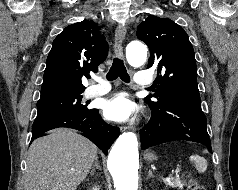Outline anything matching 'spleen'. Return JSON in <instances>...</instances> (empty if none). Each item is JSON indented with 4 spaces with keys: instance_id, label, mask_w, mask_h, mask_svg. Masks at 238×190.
I'll use <instances>...</instances> for the list:
<instances>
[{
    "instance_id": "1",
    "label": "spleen",
    "mask_w": 238,
    "mask_h": 190,
    "mask_svg": "<svg viewBox=\"0 0 238 190\" xmlns=\"http://www.w3.org/2000/svg\"><path fill=\"white\" fill-rule=\"evenodd\" d=\"M190 160L195 163V167L199 173H203L207 169V161L199 155H192Z\"/></svg>"
}]
</instances>
